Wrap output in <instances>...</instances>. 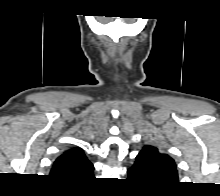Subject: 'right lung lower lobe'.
Masks as SVG:
<instances>
[{"label":"right lung lower lobe","mask_w":220,"mask_h":196,"mask_svg":"<svg viewBox=\"0 0 220 196\" xmlns=\"http://www.w3.org/2000/svg\"><path fill=\"white\" fill-rule=\"evenodd\" d=\"M89 178H93V175L92 176H90ZM88 178V179H89ZM67 184H72V185H75V184H79V183H81V182H79V183H72V182H67V181H65Z\"/></svg>","instance_id":"right-lung-lower-lobe-1"}]
</instances>
